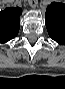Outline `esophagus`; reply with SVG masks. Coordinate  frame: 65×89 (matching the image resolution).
Wrapping results in <instances>:
<instances>
[{"label": "esophagus", "mask_w": 65, "mask_h": 89, "mask_svg": "<svg viewBox=\"0 0 65 89\" xmlns=\"http://www.w3.org/2000/svg\"><path fill=\"white\" fill-rule=\"evenodd\" d=\"M37 4H38V1L37 0H30L29 1V5L32 8H35L37 6Z\"/></svg>", "instance_id": "1"}]
</instances>
